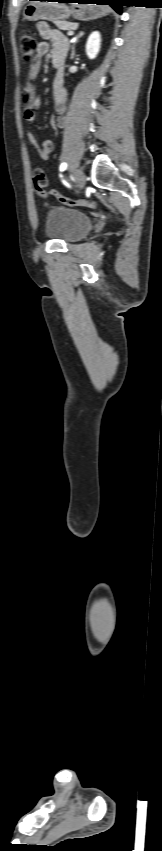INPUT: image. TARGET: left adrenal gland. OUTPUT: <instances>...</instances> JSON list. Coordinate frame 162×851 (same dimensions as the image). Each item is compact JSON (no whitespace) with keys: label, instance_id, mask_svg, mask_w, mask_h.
I'll return each instance as SVG.
<instances>
[{"label":"left adrenal gland","instance_id":"a2214340","mask_svg":"<svg viewBox=\"0 0 162 851\" xmlns=\"http://www.w3.org/2000/svg\"><path fill=\"white\" fill-rule=\"evenodd\" d=\"M83 35H84V32H83V31L79 32L78 37H77V39H76L75 43L72 45L71 59H73V58L75 57V44L78 42V40H79V39H80Z\"/></svg>","mask_w":162,"mask_h":851}]
</instances>
